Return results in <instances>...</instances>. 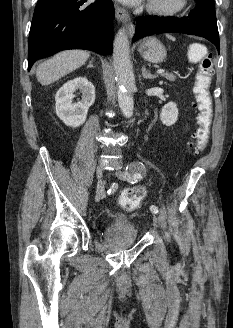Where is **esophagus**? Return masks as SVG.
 <instances>
[{"mask_svg":"<svg viewBox=\"0 0 233 328\" xmlns=\"http://www.w3.org/2000/svg\"><path fill=\"white\" fill-rule=\"evenodd\" d=\"M115 16L118 19V21L128 23L129 34L132 35L134 33V25L130 22L128 12L124 8L115 4Z\"/></svg>","mask_w":233,"mask_h":328,"instance_id":"obj_1","label":"esophagus"}]
</instances>
